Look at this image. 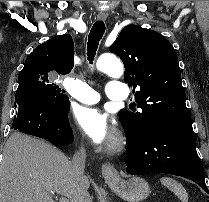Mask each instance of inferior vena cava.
<instances>
[{"label": "inferior vena cava", "instance_id": "inferior-vena-cava-1", "mask_svg": "<svg viewBox=\"0 0 209 202\" xmlns=\"http://www.w3.org/2000/svg\"><path fill=\"white\" fill-rule=\"evenodd\" d=\"M86 154L85 149L81 147L72 158V171L76 178L77 199L76 202H92V198L83 183L85 170Z\"/></svg>", "mask_w": 209, "mask_h": 202}]
</instances>
